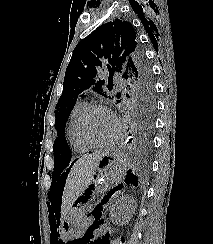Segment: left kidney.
Here are the masks:
<instances>
[{"label": "left kidney", "instance_id": "left-kidney-1", "mask_svg": "<svg viewBox=\"0 0 213 244\" xmlns=\"http://www.w3.org/2000/svg\"><path fill=\"white\" fill-rule=\"evenodd\" d=\"M134 211L133 200L123 197L111 209V218L116 223H124Z\"/></svg>", "mask_w": 213, "mask_h": 244}]
</instances>
